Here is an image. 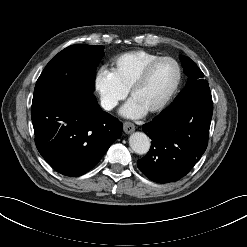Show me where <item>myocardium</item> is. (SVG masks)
<instances>
[{"label":"myocardium","instance_id":"f54148a6","mask_svg":"<svg viewBox=\"0 0 247 247\" xmlns=\"http://www.w3.org/2000/svg\"><path fill=\"white\" fill-rule=\"evenodd\" d=\"M162 61H170L175 65L176 73H177L176 74V80H175L173 87L171 88V90L167 94V96L160 103H158L157 105H155L154 107H152L151 109L148 110L150 113H156V112H159L162 109H164L171 102V100L174 98V96L176 95V93L180 87L181 80H182V69H181L180 64L174 58H172L170 56H160V57L152 60L151 62H149L143 68V70L136 77V79L134 80V82L132 83V85L129 89L130 96L132 97L133 94L136 92V90H138L141 86H143V84L147 81L153 68L158 63H160Z\"/></svg>","mask_w":247,"mask_h":247}]
</instances>
